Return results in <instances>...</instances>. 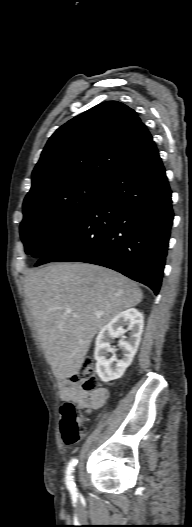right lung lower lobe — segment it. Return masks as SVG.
Segmentation results:
<instances>
[{
	"label": "right lung lower lobe",
	"mask_w": 192,
	"mask_h": 527,
	"mask_svg": "<svg viewBox=\"0 0 192 527\" xmlns=\"http://www.w3.org/2000/svg\"><path fill=\"white\" fill-rule=\"evenodd\" d=\"M171 190L152 141L35 264L85 262L116 270L158 294L173 221Z\"/></svg>",
	"instance_id": "98d812e1"
}]
</instances>
